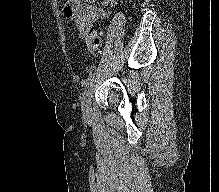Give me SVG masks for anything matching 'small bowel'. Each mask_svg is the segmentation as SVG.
I'll list each match as a JSON object with an SVG mask.
<instances>
[{
    "instance_id": "obj_1",
    "label": "small bowel",
    "mask_w": 219,
    "mask_h": 192,
    "mask_svg": "<svg viewBox=\"0 0 219 192\" xmlns=\"http://www.w3.org/2000/svg\"><path fill=\"white\" fill-rule=\"evenodd\" d=\"M118 0H67L65 14L75 20L78 37L90 50L91 30L98 20H106ZM102 4L97 7V3ZM91 51V50H90Z\"/></svg>"
}]
</instances>
